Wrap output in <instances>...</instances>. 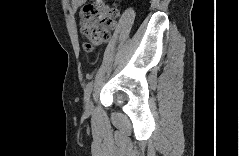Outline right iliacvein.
I'll return each instance as SVG.
<instances>
[{
	"label": "right iliac vein",
	"instance_id": "right-iliac-vein-1",
	"mask_svg": "<svg viewBox=\"0 0 239 156\" xmlns=\"http://www.w3.org/2000/svg\"><path fill=\"white\" fill-rule=\"evenodd\" d=\"M85 109H86L87 112H91L92 100L90 98L86 101Z\"/></svg>",
	"mask_w": 239,
	"mask_h": 156
}]
</instances>
